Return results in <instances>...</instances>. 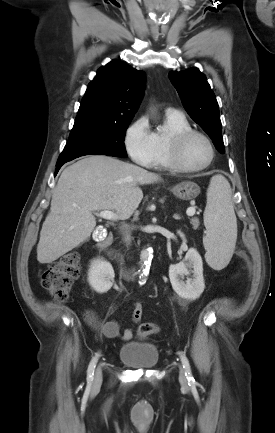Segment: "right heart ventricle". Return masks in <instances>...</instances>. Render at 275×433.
<instances>
[{"mask_svg": "<svg viewBox=\"0 0 275 433\" xmlns=\"http://www.w3.org/2000/svg\"><path fill=\"white\" fill-rule=\"evenodd\" d=\"M189 129L191 125L184 115L166 112L163 118V129L152 131L154 155L150 166L172 170L173 167L168 159V141L172 136Z\"/></svg>", "mask_w": 275, "mask_h": 433, "instance_id": "1", "label": "right heart ventricle"}]
</instances>
